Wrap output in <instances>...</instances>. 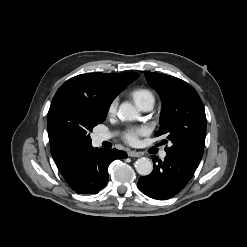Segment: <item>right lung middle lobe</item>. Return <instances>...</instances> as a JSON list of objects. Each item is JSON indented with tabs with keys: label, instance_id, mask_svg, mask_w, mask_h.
Wrapping results in <instances>:
<instances>
[{
	"label": "right lung middle lobe",
	"instance_id": "right-lung-middle-lobe-1",
	"mask_svg": "<svg viewBox=\"0 0 247 247\" xmlns=\"http://www.w3.org/2000/svg\"><path fill=\"white\" fill-rule=\"evenodd\" d=\"M108 109L109 107L97 108L85 102L64 100L55 105L52 120L59 132L69 141L89 147L90 132L105 120Z\"/></svg>",
	"mask_w": 247,
	"mask_h": 247
}]
</instances>
